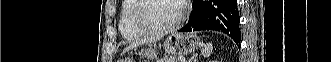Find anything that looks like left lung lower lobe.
Wrapping results in <instances>:
<instances>
[{
    "mask_svg": "<svg viewBox=\"0 0 331 62\" xmlns=\"http://www.w3.org/2000/svg\"><path fill=\"white\" fill-rule=\"evenodd\" d=\"M193 12L181 32L215 30L229 35L240 47L237 0H193Z\"/></svg>",
    "mask_w": 331,
    "mask_h": 62,
    "instance_id": "1",
    "label": "left lung lower lobe"
}]
</instances>
